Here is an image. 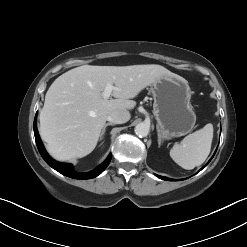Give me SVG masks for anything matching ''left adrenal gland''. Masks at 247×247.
<instances>
[{"mask_svg":"<svg viewBox=\"0 0 247 247\" xmlns=\"http://www.w3.org/2000/svg\"><path fill=\"white\" fill-rule=\"evenodd\" d=\"M157 130H158V144H159V147H160L161 143H162V140H161V135H160L158 127H157Z\"/></svg>","mask_w":247,"mask_h":247,"instance_id":"left-adrenal-gland-1","label":"left adrenal gland"}]
</instances>
